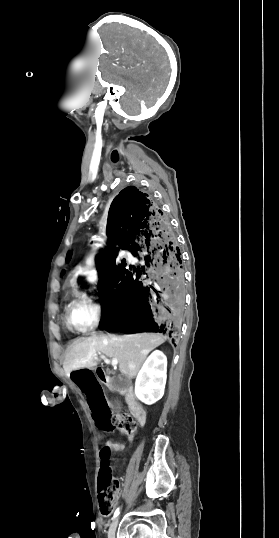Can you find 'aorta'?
Returning a JSON list of instances; mask_svg holds the SVG:
<instances>
[{"label":"aorta","mask_w":279,"mask_h":538,"mask_svg":"<svg viewBox=\"0 0 279 538\" xmlns=\"http://www.w3.org/2000/svg\"><path fill=\"white\" fill-rule=\"evenodd\" d=\"M87 264L90 266L92 264V258L89 257V259L87 260Z\"/></svg>","instance_id":"aorta-1"}]
</instances>
